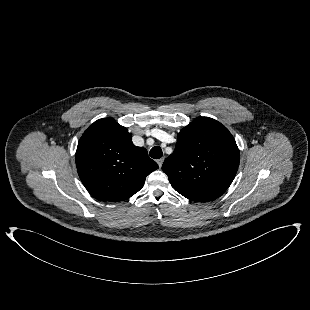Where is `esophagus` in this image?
<instances>
[{
	"label": "esophagus",
	"mask_w": 310,
	"mask_h": 310,
	"mask_svg": "<svg viewBox=\"0 0 310 310\" xmlns=\"http://www.w3.org/2000/svg\"><path fill=\"white\" fill-rule=\"evenodd\" d=\"M163 161H164L163 158H160V159L157 160V164H158L159 168H161V166L163 164Z\"/></svg>",
	"instance_id": "obj_1"
}]
</instances>
